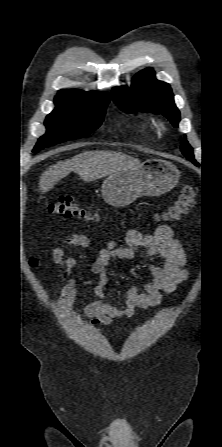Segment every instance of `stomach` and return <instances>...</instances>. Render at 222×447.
<instances>
[{"instance_id": "1", "label": "stomach", "mask_w": 222, "mask_h": 447, "mask_svg": "<svg viewBox=\"0 0 222 447\" xmlns=\"http://www.w3.org/2000/svg\"><path fill=\"white\" fill-rule=\"evenodd\" d=\"M180 172L171 162L149 159L134 169L110 174L102 184V196L114 207H125L141 196H160L178 183Z\"/></svg>"}]
</instances>
